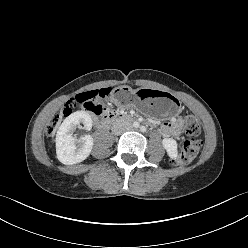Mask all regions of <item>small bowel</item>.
<instances>
[{"label":"small bowel","mask_w":248,"mask_h":248,"mask_svg":"<svg viewBox=\"0 0 248 248\" xmlns=\"http://www.w3.org/2000/svg\"><path fill=\"white\" fill-rule=\"evenodd\" d=\"M182 122L180 119L175 120L173 122H164L161 125L162 131L170 136L176 137L181 133Z\"/></svg>","instance_id":"small-bowel-1"}]
</instances>
